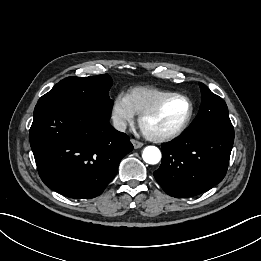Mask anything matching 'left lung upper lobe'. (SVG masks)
<instances>
[{
  "mask_svg": "<svg viewBox=\"0 0 261 261\" xmlns=\"http://www.w3.org/2000/svg\"><path fill=\"white\" fill-rule=\"evenodd\" d=\"M199 85L202 103L197 117L186 131L232 125L225 101L212 93L205 84L200 82Z\"/></svg>",
  "mask_w": 261,
  "mask_h": 261,
  "instance_id": "5c2ea615",
  "label": "left lung upper lobe"
}]
</instances>
